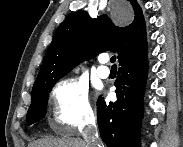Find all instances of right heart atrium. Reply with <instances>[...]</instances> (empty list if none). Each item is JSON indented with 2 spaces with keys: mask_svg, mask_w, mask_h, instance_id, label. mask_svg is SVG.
<instances>
[{
  "mask_svg": "<svg viewBox=\"0 0 183 147\" xmlns=\"http://www.w3.org/2000/svg\"><path fill=\"white\" fill-rule=\"evenodd\" d=\"M51 99L57 126L81 130L94 119L88 86L76 76L59 81L51 92Z\"/></svg>",
  "mask_w": 183,
  "mask_h": 147,
  "instance_id": "right-heart-atrium-1",
  "label": "right heart atrium"
}]
</instances>
